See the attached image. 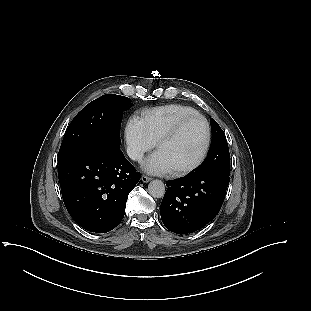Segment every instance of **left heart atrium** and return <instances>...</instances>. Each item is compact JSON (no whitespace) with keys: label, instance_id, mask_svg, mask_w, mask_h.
Segmentation results:
<instances>
[{"label":"left heart atrium","instance_id":"39dd6f15","mask_svg":"<svg viewBox=\"0 0 311 311\" xmlns=\"http://www.w3.org/2000/svg\"><path fill=\"white\" fill-rule=\"evenodd\" d=\"M142 168L153 175L167 174L172 171L163 153L158 150L142 163Z\"/></svg>","mask_w":311,"mask_h":311}]
</instances>
